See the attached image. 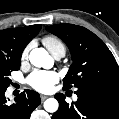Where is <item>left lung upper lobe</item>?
Listing matches in <instances>:
<instances>
[{"label":"left lung upper lobe","mask_w":119,"mask_h":119,"mask_svg":"<svg viewBox=\"0 0 119 119\" xmlns=\"http://www.w3.org/2000/svg\"><path fill=\"white\" fill-rule=\"evenodd\" d=\"M46 29L68 46L72 65L63 79V89L71 87L119 88V67L105 43L88 29L73 24H56Z\"/></svg>","instance_id":"5c2ea615"}]
</instances>
